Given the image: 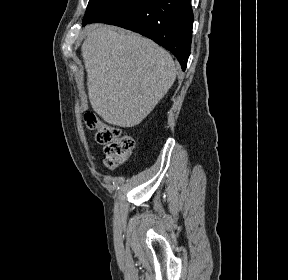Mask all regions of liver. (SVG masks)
<instances>
[{
    "label": "liver",
    "mask_w": 288,
    "mask_h": 280,
    "mask_svg": "<svg viewBox=\"0 0 288 280\" xmlns=\"http://www.w3.org/2000/svg\"><path fill=\"white\" fill-rule=\"evenodd\" d=\"M81 51L90 104L109 124L138 125L176 79L170 54L136 33L97 26Z\"/></svg>",
    "instance_id": "obj_1"
}]
</instances>
